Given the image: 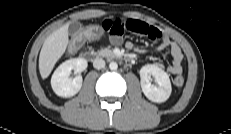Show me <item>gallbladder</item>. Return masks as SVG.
Returning <instances> with one entry per match:
<instances>
[{
  "mask_svg": "<svg viewBox=\"0 0 231 134\" xmlns=\"http://www.w3.org/2000/svg\"><path fill=\"white\" fill-rule=\"evenodd\" d=\"M80 28H81V24L77 21H74V22L70 23L68 30H69L70 34H75L79 31Z\"/></svg>",
  "mask_w": 231,
  "mask_h": 134,
  "instance_id": "bac80fb5",
  "label": "gallbladder"
}]
</instances>
